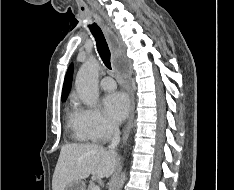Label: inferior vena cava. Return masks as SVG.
I'll list each match as a JSON object with an SVG mask.
<instances>
[{
    "instance_id": "inferior-vena-cava-1",
    "label": "inferior vena cava",
    "mask_w": 234,
    "mask_h": 190,
    "mask_svg": "<svg viewBox=\"0 0 234 190\" xmlns=\"http://www.w3.org/2000/svg\"><path fill=\"white\" fill-rule=\"evenodd\" d=\"M111 129H112V140L108 148L110 152L116 153V147L120 142V129L118 124L116 123H112Z\"/></svg>"
}]
</instances>
